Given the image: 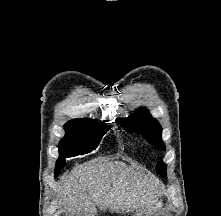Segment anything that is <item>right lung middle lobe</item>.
Returning a JSON list of instances; mask_svg holds the SVG:
<instances>
[{
  "mask_svg": "<svg viewBox=\"0 0 221 216\" xmlns=\"http://www.w3.org/2000/svg\"><path fill=\"white\" fill-rule=\"evenodd\" d=\"M66 134L59 143L60 157L56 162L55 176L65 166V158L84 155L98 147L103 135L110 127L105 121L78 119L64 126Z\"/></svg>",
  "mask_w": 221,
  "mask_h": 216,
  "instance_id": "obj_1",
  "label": "right lung middle lobe"
}]
</instances>
